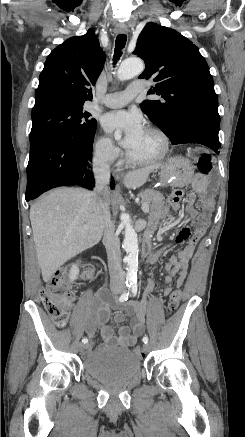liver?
<instances>
[{
    "instance_id": "obj_1",
    "label": "liver",
    "mask_w": 245,
    "mask_h": 437,
    "mask_svg": "<svg viewBox=\"0 0 245 437\" xmlns=\"http://www.w3.org/2000/svg\"><path fill=\"white\" fill-rule=\"evenodd\" d=\"M157 166L129 172L127 188L144 185ZM110 202L109 191L103 196ZM100 196L81 188H58L30 208L36 255L42 277L48 282L70 258L96 245L104 232Z\"/></svg>"
}]
</instances>
